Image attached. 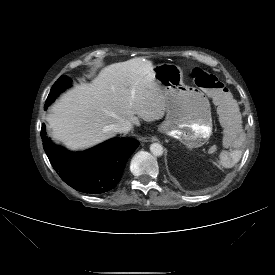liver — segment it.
<instances>
[{"instance_id": "6515ba94", "label": "liver", "mask_w": 275, "mask_h": 275, "mask_svg": "<svg viewBox=\"0 0 275 275\" xmlns=\"http://www.w3.org/2000/svg\"><path fill=\"white\" fill-rule=\"evenodd\" d=\"M150 60L133 58L105 67L91 84L76 85L47 116L51 135L77 150L111 136L110 126L128 120L139 126L161 119L166 111Z\"/></svg>"}]
</instances>
